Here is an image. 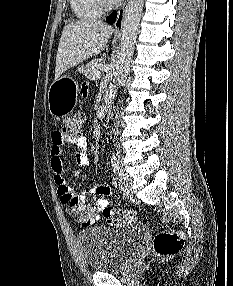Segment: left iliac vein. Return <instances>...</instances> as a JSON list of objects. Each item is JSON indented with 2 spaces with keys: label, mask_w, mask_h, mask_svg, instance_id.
<instances>
[{
  "label": "left iliac vein",
  "mask_w": 233,
  "mask_h": 286,
  "mask_svg": "<svg viewBox=\"0 0 233 286\" xmlns=\"http://www.w3.org/2000/svg\"><path fill=\"white\" fill-rule=\"evenodd\" d=\"M118 180H119V187L121 191L124 193V195L131 197L133 193L131 188L132 180L129 177V175L120 170Z\"/></svg>",
  "instance_id": "left-iliac-vein-1"
}]
</instances>
